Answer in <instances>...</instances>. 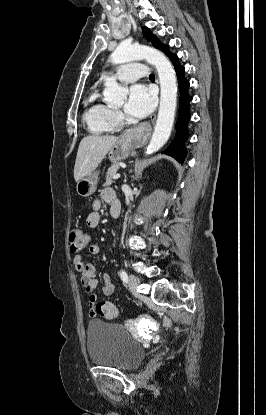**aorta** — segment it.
<instances>
[{"instance_id": "obj_1", "label": "aorta", "mask_w": 266, "mask_h": 415, "mask_svg": "<svg viewBox=\"0 0 266 415\" xmlns=\"http://www.w3.org/2000/svg\"><path fill=\"white\" fill-rule=\"evenodd\" d=\"M145 59L154 65L160 80V106L156 125L147 147V154L158 151L169 139L177 107V80L174 68L164 54L144 45L121 43L111 54V61L118 65ZM128 90L118 85L115 79L105 81L104 100L110 105H121Z\"/></svg>"}]
</instances>
